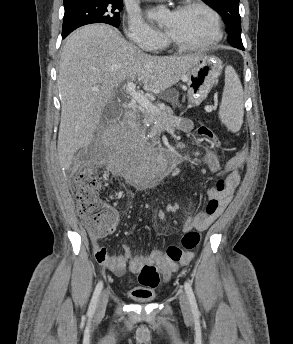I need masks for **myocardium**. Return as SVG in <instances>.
<instances>
[{
  "mask_svg": "<svg viewBox=\"0 0 293 344\" xmlns=\"http://www.w3.org/2000/svg\"><path fill=\"white\" fill-rule=\"evenodd\" d=\"M192 8H201L204 11H206L210 17L212 18L213 21V26H214V34L210 40L204 43L200 44H188L183 41H180L167 32L164 33L165 39L168 42L169 45L172 47L181 50V51H204L208 50L215 45H217L222 37H223V27H222V21L219 13L211 7L209 4L203 2L202 0H189L177 8L173 12L179 13V12H184L186 10L192 9Z\"/></svg>",
  "mask_w": 293,
  "mask_h": 344,
  "instance_id": "f54148a6",
  "label": "myocardium"
}]
</instances>
